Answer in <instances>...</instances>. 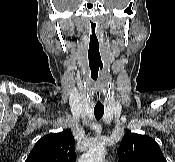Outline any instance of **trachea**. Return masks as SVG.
<instances>
[{
	"label": "trachea",
	"instance_id": "trachea-1",
	"mask_svg": "<svg viewBox=\"0 0 175 162\" xmlns=\"http://www.w3.org/2000/svg\"><path fill=\"white\" fill-rule=\"evenodd\" d=\"M104 114V107H95L94 108V115L96 120H100Z\"/></svg>",
	"mask_w": 175,
	"mask_h": 162
}]
</instances>
